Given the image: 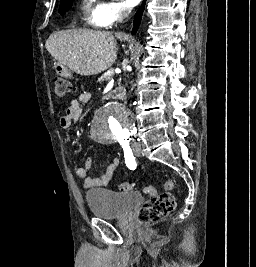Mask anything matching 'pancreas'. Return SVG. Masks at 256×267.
Instances as JSON below:
<instances>
[{
	"mask_svg": "<svg viewBox=\"0 0 256 267\" xmlns=\"http://www.w3.org/2000/svg\"><path fill=\"white\" fill-rule=\"evenodd\" d=\"M101 80H105V82H109V80H112V76H102ZM111 94H116L115 98H118V96H125V88H116V90H113Z\"/></svg>",
	"mask_w": 256,
	"mask_h": 267,
	"instance_id": "1",
	"label": "pancreas"
}]
</instances>
